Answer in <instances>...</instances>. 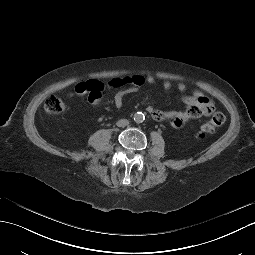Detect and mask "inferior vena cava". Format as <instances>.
Here are the masks:
<instances>
[{"label":"inferior vena cava","mask_w":255,"mask_h":255,"mask_svg":"<svg viewBox=\"0 0 255 255\" xmlns=\"http://www.w3.org/2000/svg\"><path fill=\"white\" fill-rule=\"evenodd\" d=\"M129 124V121L127 119H120L117 121L116 125L118 127H125Z\"/></svg>","instance_id":"1"}]
</instances>
